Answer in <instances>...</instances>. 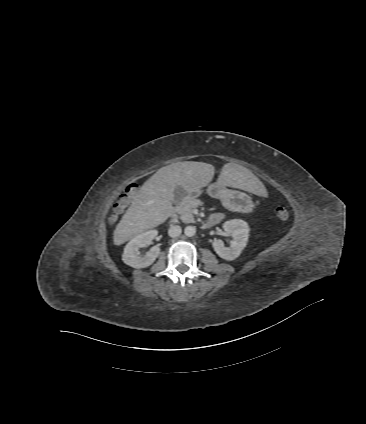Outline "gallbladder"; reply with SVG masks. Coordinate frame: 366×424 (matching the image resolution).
I'll return each instance as SVG.
<instances>
[{
    "label": "gallbladder",
    "mask_w": 366,
    "mask_h": 424,
    "mask_svg": "<svg viewBox=\"0 0 366 424\" xmlns=\"http://www.w3.org/2000/svg\"><path fill=\"white\" fill-rule=\"evenodd\" d=\"M184 196H185V190L183 189V187L177 186L175 191H174L175 201L178 202V201L182 200Z\"/></svg>",
    "instance_id": "bac80fb5"
}]
</instances>
